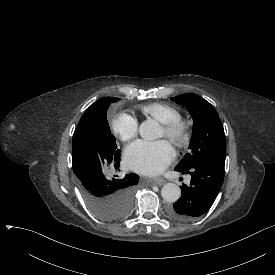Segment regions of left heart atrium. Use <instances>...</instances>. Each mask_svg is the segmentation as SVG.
<instances>
[{
  "label": "left heart atrium",
  "instance_id": "left-heart-atrium-1",
  "mask_svg": "<svg viewBox=\"0 0 275 275\" xmlns=\"http://www.w3.org/2000/svg\"><path fill=\"white\" fill-rule=\"evenodd\" d=\"M126 162L135 171L156 174L174 158V150L166 140L138 141L126 149Z\"/></svg>",
  "mask_w": 275,
  "mask_h": 275
}]
</instances>
